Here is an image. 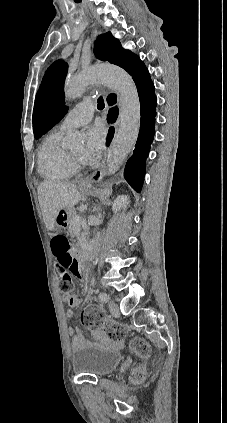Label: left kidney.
Instances as JSON below:
<instances>
[{"label":"left kidney","mask_w":227,"mask_h":423,"mask_svg":"<svg viewBox=\"0 0 227 423\" xmlns=\"http://www.w3.org/2000/svg\"><path fill=\"white\" fill-rule=\"evenodd\" d=\"M128 204H129L128 196H118V198H116V200H114L112 210L115 211V213H117V211L121 210V208H123V210H126Z\"/></svg>","instance_id":"left-kidney-1"}]
</instances>
